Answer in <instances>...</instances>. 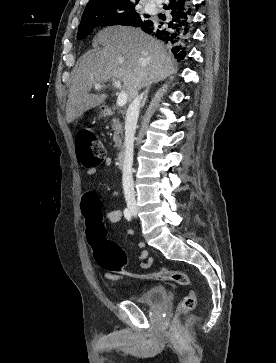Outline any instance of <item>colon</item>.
Masks as SVG:
<instances>
[{
	"instance_id": "5ec220e1",
	"label": "colon",
	"mask_w": 276,
	"mask_h": 363,
	"mask_svg": "<svg viewBox=\"0 0 276 363\" xmlns=\"http://www.w3.org/2000/svg\"><path fill=\"white\" fill-rule=\"evenodd\" d=\"M77 152L85 166H96L105 156L104 147L98 137L88 128H82L77 132ZM88 241L93 248V257L96 263L109 272H120L127 264V257L122 248L115 242L106 239V229L98 218L97 211L88 212ZM177 285L189 288L190 276L182 270L161 268L158 272ZM197 298L193 290H188L181 300L175 323L182 317L190 314L196 306Z\"/></svg>"
}]
</instances>
